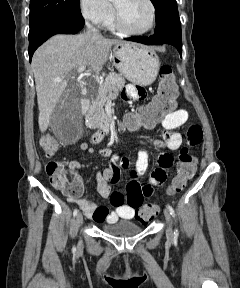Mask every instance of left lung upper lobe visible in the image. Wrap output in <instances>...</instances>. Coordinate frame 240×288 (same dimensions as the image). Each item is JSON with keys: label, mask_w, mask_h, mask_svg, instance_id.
<instances>
[{"label": "left lung upper lobe", "mask_w": 240, "mask_h": 288, "mask_svg": "<svg viewBox=\"0 0 240 288\" xmlns=\"http://www.w3.org/2000/svg\"><path fill=\"white\" fill-rule=\"evenodd\" d=\"M156 10L155 33L181 31L176 0H151Z\"/></svg>", "instance_id": "5c2ea615"}]
</instances>
